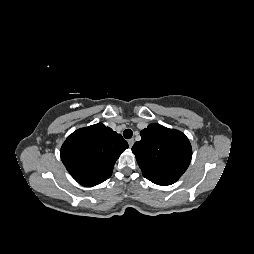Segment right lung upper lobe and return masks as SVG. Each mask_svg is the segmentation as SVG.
<instances>
[{"mask_svg": "<svg viewBox=\"0 0 254 254\" xmlns=\"http://www.w3.org/2000/svg\"><path fill=\"white\" fill-rule=\"evenodd\" d=\"M127 148L121 134L98 123L69 135L60 155L71 176L81 185L92 187L111 176L115 161Z\"/></svg>", "mask_w": 254, "mask_h": 254, "instance_id": "cb5924a9", "label": "right lung upper lobe"}]
</instances>
